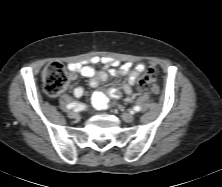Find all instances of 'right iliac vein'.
<instances>
[{
    "instance_id": "1",
    "label": "right iliac vein",
    "mask_w": 222,
    "mask_h": 187,
    "mask_svg": "<svg viewBox=\"0 0 222 187\" xmlns=\"http://www.w3.org/2000/svg\"><path fill=\"white\" fill-rule=\"evenodd\" d=\"M77 116H78V113L75 110H71V111L68 112V117L69 118H76Z\"/></svg>"
}]
</instances>
